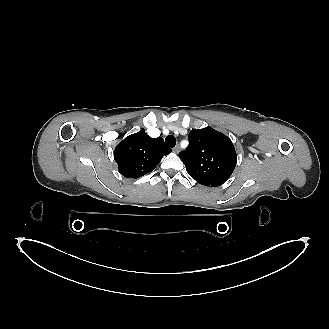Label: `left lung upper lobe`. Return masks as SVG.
<instances>
[{
    "instance_id": "obj_1",
    "label": "left lung upper lobe",
    "mask_w": 329,
    "mask_h": 329,
    "mask_svg": "<svg viewBox=\"0 0 329 329\" xmlns=\"http://www.w3.org/2000/svg\"><path fill=\"white\" fill-rule=\"evenodd\" d=\"M188 138L189 148L179 154L188 174L205 186L222 185L237 162L232 141L210 127L194 129Z\"/></svg>"
}]
</instances>
